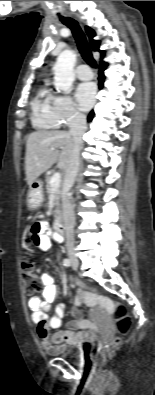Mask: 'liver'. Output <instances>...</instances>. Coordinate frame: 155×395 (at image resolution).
<instances>
[{"mask_svg":"<svg viewBox=\"0 0 155 395\" xmlns=\"http://www.w3.org/2000/svg\"><path fill=\"white\" fill-rule=\"evenodd\" d=\"M73 146L74 141L69 132L36 131L31 133L27 139L25 155L27 184L30 186L56 162L58 167L65 171Z\"/></svg>","mask_w":155,"mask_h":395,"instance_id":"1","label":"liver"}]
</instances>
